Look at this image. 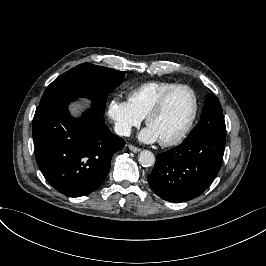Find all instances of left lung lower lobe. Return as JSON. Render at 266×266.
<instances>
[{
    "instance_id": "1",
    "label": "left lung lower lobe",
    "mask_w": 266,
    "mask_h": 266,
    "mask_svg": "<svg viewBox=\"0 0 266 266\" xmlns=\"http://www.w3.org/2000/svg\"><path fill=\"white\" fill-rule=\"evenodd\" d=\"M226 136L201 134L157 155L148 175L151 189L162 199L184 202L202 194L217 176Z\"/></svg>"
}]
</instances>
